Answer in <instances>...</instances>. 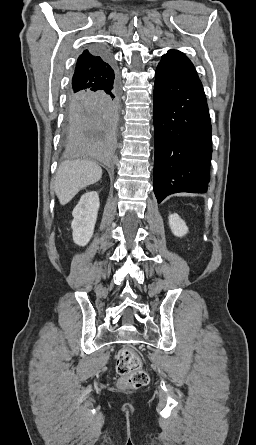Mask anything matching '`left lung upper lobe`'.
<instances>
[{
    "label": "left lung upper lobe",
    "instance_id": "obj_1",
    "mask_svg": "<svg viewBox=\"0 0 256 445\" xmlns=\"http://www.w3.org/2000/svg\"><path fill=\"white\" fill-rule=\"evenodd\" d=\"M160 63H165L181 72L198 77L192 62L180 51L169 50L162 56Z\"/></svg>",
    "mask_w": 256,
    "mask_h": 445
}]
</instances>
